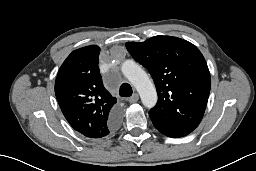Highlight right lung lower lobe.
I'll return each mask as SVG.
<instances>
[{"label": "right lung lower lobe", "mask_w": 256, "mask_h": 171, "mask_svg": "<svg viewBox=\"0 0 256 171\" xmlns=\"http://www.w3.org/2000/svg\"><path fill=\"white\" fill-rule=\"evenodd\" d=\"M120 121V112L118 110H115L108 121V128L110 131L115 130L116 127L118 126Z\"/></svg>", "instance_id": "right-lung-lower-lobe-1"}]
</instances>
